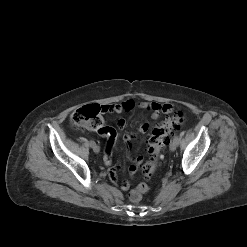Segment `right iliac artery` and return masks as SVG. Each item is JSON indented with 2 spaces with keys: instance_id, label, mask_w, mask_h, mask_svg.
Returning <instances> with one entry per match:
<instances>
[{
  "instance_id": "1",
  "label": "right iliac artery",
  "mask_w": 247,
  "mask_h": 247,
  "mask_svg": "<svg viewBox=\"0 0 247 247\" xmlns=\"http://www.w3.org/2000/svg\"><path fill=\"white\" fill-rule=\"evenodd\" d=\"M95 144V142L94 141H90V145L92 146V145H94Z\"/></svg>"
}]
</instances>
